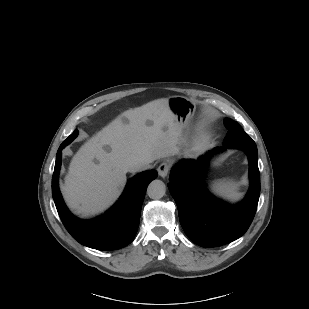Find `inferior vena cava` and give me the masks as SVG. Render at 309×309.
I'll list each match as a JSON object with an SVG mask.
<instances>
[{
	"instance_id": "602c4592",
	"label": "inferior vena cava",
	"mask_w": 309,
	"mask_h": 309,
	"mask_svg": "<svg viewBox=\"0 0 309 309\" xmlns=\"http://www.w3.org/2000/svg\"><path fill=\"white\" fill-rule=\"evenodd\" d=\"M150 167L149 162H136L130 167V171L136 172L146 170Z\"/></svg>"
}]
</instances>
